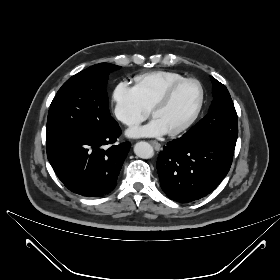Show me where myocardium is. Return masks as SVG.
I'll list each match as a JSON object with an SVG mask.
<instances>
[{"label": "myocardium", "instance_id": "f54148a6", "mask_svg": "<svg viewBox=\"0 0 280 280\" xmlns=\"http://www.w3.org/2000/svg\"><path fill=\"white\" fill-rule=\"evenodd\" d=\"M186 83H195L198 86L199 98H198L196 107H195L191 117L180 127L176 128L174 130H171V131H166V134L169 136H177V135L183 133L184 131L189 129L193 125V123L197 120V118L201 112L203 102H204V88H203L201 82L195 78H183L181 80H178V81L170 84L151 107V115L154 116L156 110L163 107L169 101V99L171 98L174 91L179 86L186 84Z\"/></svg>", "mask_w": 280, "mask_h": 280}]
</instances>
